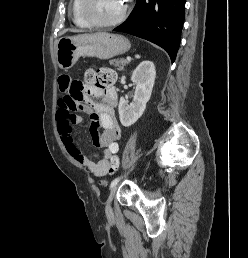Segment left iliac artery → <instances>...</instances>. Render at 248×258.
Returning <instances> with one entry per match:
<instances>
[{
  "label": "left iliac artery",
  "mask_w": 248,
  "mask_h": 258,
  "mask_svg": "<svg viewBox=\"0 0 248 258\" xmlns=\"http://www.w3.org/2000/svg\"><path fill=\"white\" fill-rule=\"evenodd\" d=\"M121 177H117L115 178L110 185V188L114 187L119 181H120Z\"/></svg>",
  "instance_id": "1"
}]
</instances>
